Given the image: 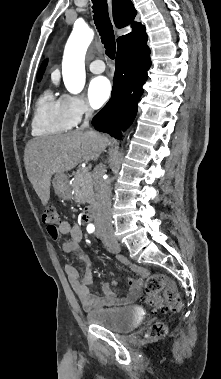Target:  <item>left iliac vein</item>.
Returning a JSON list of instances; mask_svg holds the SVG:
<instances>
[{"label":"left iliac vein","instance_id":"obj_1","mask_svg":"<svg viewBox=\"0 0 221 379\" xmlns=\"http://www.w3.org/2000/svg\"><path fill=\"white\" fill-rule=\"evenodd\" d=\"M105 246L112 253H118L120 251V245L115 239L106 241Z\"/></svg>","mask_w":221,"mask_h":379}]
</instances>
